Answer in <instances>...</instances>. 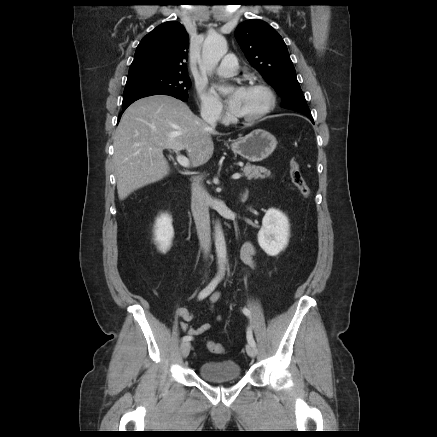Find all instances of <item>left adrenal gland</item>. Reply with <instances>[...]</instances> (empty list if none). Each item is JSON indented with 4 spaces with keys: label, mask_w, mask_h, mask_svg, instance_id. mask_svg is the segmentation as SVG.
<instances>
[{
    "label": "left adrenal gland",
    "mask_w": 437,
    "mask_h": 437,
    "mask_svg": "<svg viewBox=\"0 0 437 437\" xmlns=\"http://www.w3.org/2000/svg\"><path fill=\"white\" fill-rule=\"evenodd\" d=\"M247 195H248V191L246 190V192L242 196V201L243 202L247 199Z\"/></svg>",
    "instance_id": "obj_1"
}]
</instances>
